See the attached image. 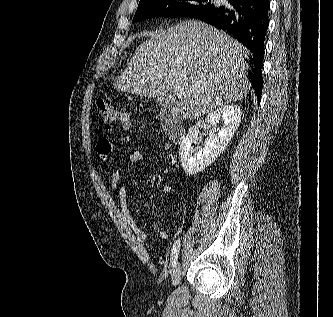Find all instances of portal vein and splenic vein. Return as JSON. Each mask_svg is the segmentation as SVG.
<instances>
[{"mask_svg": "<svg viewBox=\"0 0 333 317\" xmlns=\"http://www.w3.org/2000/svg\"><path fill=\"white\" fill-rule=\"evenodd\" d=\"M174 92L179 100L183 99L186 96V94L181 86H178V85L174 86Z\"/></svg>", "mask_w": 333, "mask_h": 317, "instance_id": "portal-vein-and-splenic-vein-1", "label": "portal vein and splenic vein"}]
</instances>
